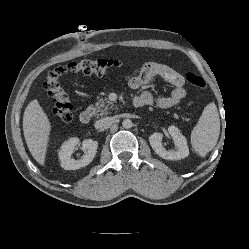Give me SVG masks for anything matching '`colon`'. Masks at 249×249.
Returning a JSON list of instances; mask_svg holds the SVG:
<instances>
[{
  "label": "colon",
  "mask_w": 249,
  "mask_h": 249,
  "mask_svg": "<svg viewBox=\"0 0 249 249\" xmlns=\"http://www.w3.org/2000/svg\"><path fill=\"white\" fill-rule=\"evenodd\" d=\"M125 64L112 59H83L70 62L64 66L49 71L45 77L44 87L55 103L54 113L64 122L73 118L74 104L63 88L60 79L65 74L103 75L111 70L123 67ZM187 82L193 87L203 90L206 83L202 77L195 73L186 74Z\"/></svg>",
  "instance_id": "obj_1"
}]
</instances>
